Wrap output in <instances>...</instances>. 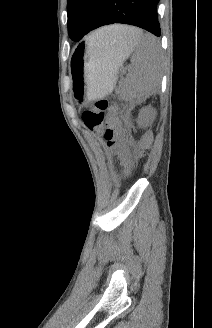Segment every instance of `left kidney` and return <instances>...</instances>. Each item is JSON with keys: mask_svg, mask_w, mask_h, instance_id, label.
I'll use <instances>...</instances> for the list:
<instances>
[{"mask_svg": "<svg viewBox=\"0 0 212 328\" xmlns=\"http://www.w3.org/2000/svg\"><path fill=\"white\" fill-rule=\"evenodd\" d=\"M155 117V111L151 107L141 109L139 113L138 123L141 126L150 124Z\"/></svg>", "mask_w": 212, "mask_h": 328, "instance_id": "5707ae66", "label": "left kidney"}]
</instances>
